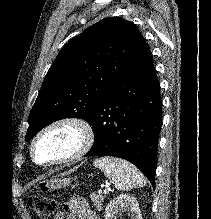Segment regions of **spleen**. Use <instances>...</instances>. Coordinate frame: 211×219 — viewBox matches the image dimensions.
Returning a JSON list of instances; mask_svg holds the SVG:
<instances>
[{"label":"spleen","mask_w":211,"mask_h":219,"mask_svg":"<svg viewBox=\"0 0 211 219\" xmlns=\"http://www.w3.org/2000/svg\"><path fill=\"white\" fill-rule=\"evenodd\" d=\"M94 166L100 168L118 190L128 191L146 185L143 174L125 160L102 157L94 161Z\"/></svg>","instance_id":"3e777b00"}]
</instances>
